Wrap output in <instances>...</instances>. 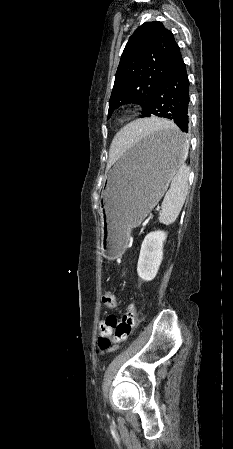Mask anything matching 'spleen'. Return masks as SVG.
Wrapping results in <instances>:
<instances>
[{
	"label": "spleen",
	"instance_id": "1",
	"mask_svg": "<svg viewBox=\"0 0 233 449\" xmlns=\"http://www.w3.org/2000/svg\"><path fill=\"white\" fill-rule=\"evenodd\" d=\"M169 127H175L173 123L171 122V125H160L159 131H153V133H160L162 131V128H169ZM177 128V127H176ZM148 138V134L147 137ZM185 142V151L184 152V159L187 156L189 143L186 139H184ZM188 167L182 162L177 171L175 176L172 179L170 189L166 192L165 197L163 199L162 205H161V213L159 216V222L165 225H169L175 222L177 219L187 196L188 192Z\"/></svg>",
	"mask_w": 233,
	"mask_h": 449
}]
</instances>
